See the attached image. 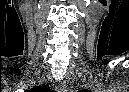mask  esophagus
<instances>
[{
	"instance_id": "esophagus-1",
	"label": "esophagus",
	"mask_w": 129,
	"mask_h": 92,
	"mask_svg": "<svg viewBox=\"0 0 129 92\" xmlns=\"http://www.w3.org/2000/svg\"><path fill=\"white\" fill-rule=\"evenodd\" d=\"M66 84L64 82H60L58 86V92H66Z\"/></svg>"
}]
</instances>
